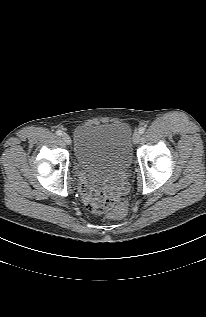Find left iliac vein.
<instances>
[{"mask_svg": "<svg viewBox=\"0 0 206 317\" xmlns=\"http://www.w3.org/2000/svg\"><path fill=\"white\" fill-rule=\"evenodd\" d=\"M140 138H141L140 132H135L133 135V143L137 144L140 141Z\"/></svg>", "mask_w": 206, "mask_h": 317, "instance_id": "left-iliac-vein-1", "label": "left iliac vein"}]
</instances>
